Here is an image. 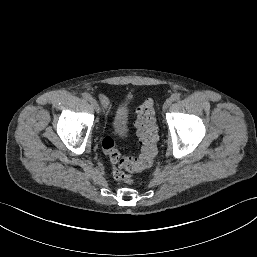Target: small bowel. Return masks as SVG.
Masks as SVG:
<instances>
[{"mask_svg":"<svg viewBox=\"0 0 257 257\" xmlns=\"http://www.w3.org/2000/svg\"><path fill=\"white\" fill-rule=\"evenodd\" d=\"M99 99H100V102L102 103L103 107L105 109H109L110 107V101L109 99L107 98V96H105L104 94H99Z\"/></svg>","mask_w":257,"mask_h":257,"instance_id":"c3829d8e","label":"small bowel"}]
</instances>
